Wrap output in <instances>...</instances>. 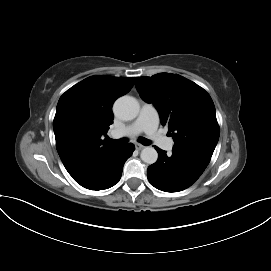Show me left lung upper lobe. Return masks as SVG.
<instances>
[{"mask_svg": "<svg viewBox=\"0 0 271 271\" xmlns=\"http://www.w3.org/2000/svg\"><path fill=\"white\" fill-rule=\"evenodd\" d=\"M141 98L153 103L175 149L212 156L219 139L215 106L210 95L194 82L172 73L136 77Z\"/></svg>", "mask_w": 271, "mask_h": 271, "instance_id": "5c2ea615", "label": "left lung upper lobe"}]
</instances>
